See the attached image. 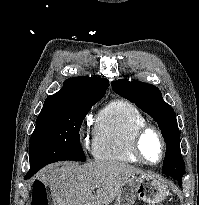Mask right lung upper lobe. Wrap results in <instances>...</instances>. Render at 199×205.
Listing matches in <instances>:
<instances>
[{
  "label": "right lung upper lobe",
  "mask_w": 199,
  "mask_h": 205,
  "mask_svg": "<svg viewBox=\"0 0 199 205\" xmlns=\"http://www.w3.org/2000/svg\"><path fill=\"white\" fill-rule=\"evenodd\" d=\"M109 86V81L100 77H73L64 81L61 90L46 98L41 111L52 107L69 105L88 99H101Z\"/></svg>",
  "instance_id": "right-lung-upper-lobe-1"
}]
</instances>
